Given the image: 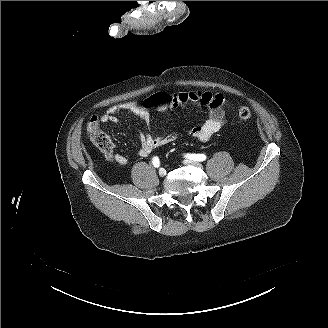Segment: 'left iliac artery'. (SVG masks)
<instances>
[{
    "label": "left iliac artery",
    "instance_id": "left-iliac-artery-1",
    "mask_svg": "<svg viewBox=\"0 0 328 328\" xmlns=\"http://www.w3.org/2000/svg\"><path fill=\"white\" fill-rule=\"evenodd\" d=\"M187 158L194 160V161H205L206 156L204 154H187Z\"/></svg>",
    "mask_w": 328,
    "mask_h": 328
}]
</instances>
